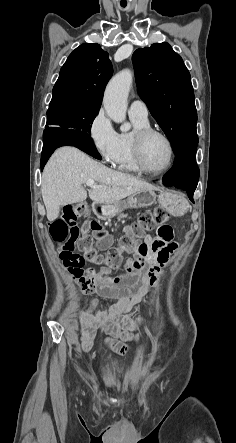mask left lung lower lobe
<instances>
[{
    "mask_svg": "<svg viewBox=\"0 0 236 443\" xmlns=\"http://www.w3.org/2000/svg\"><path fill=\"white\" fill-rule=\"evenodd\" d=\"M197 144L198 142L190 143L175 153L174 165L162 179L165 186L186 190L192 202L199 179V168L196 164Z\"/></svg>",
    "mask_w": 236,
    "mask_h": 443,
    "instance_id": "1",
    "label": "left lung lower lobe"
}]
</instances>
